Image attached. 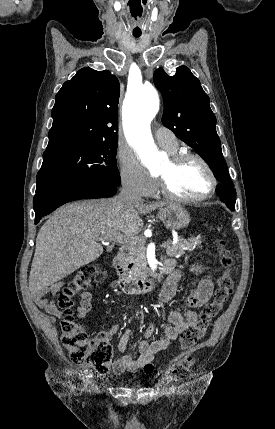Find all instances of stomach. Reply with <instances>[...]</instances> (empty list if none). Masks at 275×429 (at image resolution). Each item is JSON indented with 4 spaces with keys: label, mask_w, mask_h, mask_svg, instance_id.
<instances>
[{
    "label": "stomach",
    "mask_w": 275,
    "mask_h": 429,
    "mask_svg": "<svg viewBox=\"0 0 275 429\" xmlns=\"http://www.w3.org/2000/svg\"><path fill=\"white\" fill-rule=\"evenodd\" d=\"M158 216L166 227L175 230L187 227L190 222V215L188 212L176 204L160 208Z\"/></svg>",
    "instance_id": "obj_1"
}]
</instances>
